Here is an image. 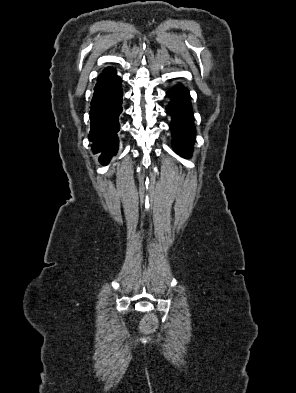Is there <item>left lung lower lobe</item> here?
Wrapping results in <instances>:
<instances>
[{"label": "left lung lower lobe", "mask_w": 296, "mask_h": 393, "mask_svg": "<svg viewBox=\"0 0 296 393\" xmlns=\"http://www.w3.org/2000/svg\"><path fill=\"white\" fill-rule=\"evenodd\" d=\"M171 101L166 110L171 115L170 129L173 136V148L183 157H189L195 138V126L189 91L182 85H176L167 91Z\"/></svg>", "instance_id": "left-lung-lower-lobe-1"}]
</instances>
